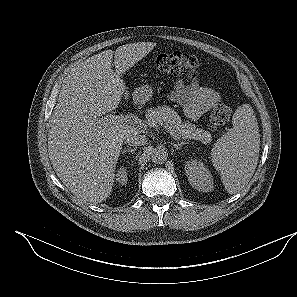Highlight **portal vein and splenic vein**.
I'll list each match as a JSON object with an SVG mask.
<instances>
[{
	"instance_id": "portal-vein-and-splenic-vein-1",
	"label": "portal vein and splenic vein",
	"mask_w": 297,
	"mask_h": 297,
	"mask_svg": "<svg viewBox=\"0 0 297 297\" xmlns=\"http://www.w3.org/2000/svg\"><path fill=\"white\" fill-rule=\"evenodd\" d=\"M98 122L101 125H109V124H113V125L133 124V121L128 116L112 115V114L107 115V116H105L103 118H99ZM154 125L155 124H153V126ZM164 127L167 130V132H169L173 137H176L177 138L175 132L171 129V127H169L168 125H165Z\"/></svg>"
}]
</instances>
